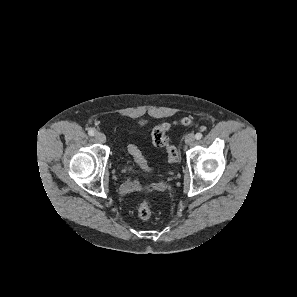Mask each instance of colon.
Here are the masks:
<instances>
[{
	"label": "colon",
	"instance_id": "1",
	"mask_svg": "<svg viewBox=\"0 0 297 297\" xmlns=\"http://www.w3.org/2000/svg\"><path fill=\"white\" fill-rule=\"evenodd\" d=\"M191 120L183 118L171 123H161L152 131V142L158 148H164L167 152L169 162L176 163L179 160V153L174 145H172L166 136L167 131L172 125H189ZM128 152L133 156L136 162L146 171L151 172L146 159L135 145L128 146ZM152 206L148 201H142L138 207V215L141 219L147 220L152 216Z\"/></svg>",
	"mask_w": 297,
	"mask_h": 297
}]
</instances>
